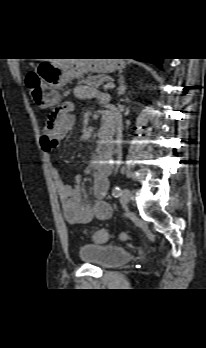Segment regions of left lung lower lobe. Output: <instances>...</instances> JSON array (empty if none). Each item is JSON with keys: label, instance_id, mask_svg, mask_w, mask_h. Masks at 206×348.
Segmentation results:
<instances>
[{"label": "left lung lower lobe", "instance_id": "left-lung-lower-lobe-1", "mask_svg": "<svg viewBox=\"0 0 206 348\" xmlns=\"http://www.w3.org/2000/svg\"><path fill=\"white\" fill-rule=\"evenodd\" d=\"M138 60L154 63V64H156L158 66H161V62H162V59H159V58L138 59Z\"/></svg>", "mask_w": 206, "mask_h": 348}]
</instances>
